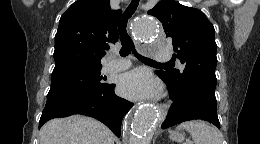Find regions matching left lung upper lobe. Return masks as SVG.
Masks as SVG:
<instances>
[{
	"mask_svg": "<svg viewBox=\"0 0 260 144\" xmlns=\"http://www.w3.org/2000/svg\"><path fill=\"white\" fill-rule=\"evenodd\" d=\"M148 14L162 22L166 37L174 46L173 58H178L185 67L156 73L173 90L196 86L215 93L217 45L214 27L205 14L174 0H162Z\"/></svg>",
	"mask_w": 260,
	"mask_h": 144,
	"instance_id": "obj_1",
	"label": "left lung upper lobe"
}]
</instances>
